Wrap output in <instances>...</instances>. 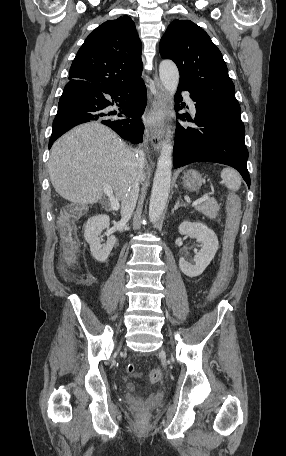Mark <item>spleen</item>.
Listing matches in <instances>:
<instances>
[{"label":"spleen","instance_id":"3e777b00","mask_svg":"<svg viewBox=\"0 0 286 456\" xmlns=\"http://www.w3.org/2000/svg\"><path fill=\"white\" fill-rule=\"evenodd\" d=\"M221 178H222V183L232 191H237L240 188L241 185V177L232 168H224L221 171Z\"/></svg>","mask_w":286,"mask_h":456}]
</instances>
